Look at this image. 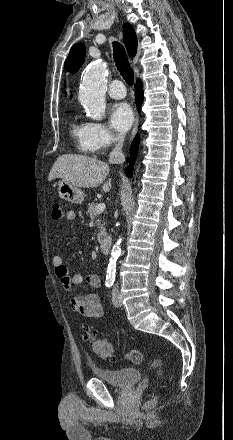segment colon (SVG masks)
<instances>
[{
  "mask_svg": "<svg viewBox=\"0 0 233 440\" xmlns=\"http://www.w3.org/2000/svg\"><path fill=\"white\" fill-rule=\"evenodd\" d=\"M63 216V205L60 202H56L52 207V218L54 220H59ZM84 337L90 340L93 345L95 353L102 359H113L114 358V347L113 345L106 341L97 338V332L90 327L84 328ZM124 358L135 363L141 364L146 361V354L140 350H128L124 354ZM148 364L157 371L159 378H162V363L157 358H151L148 360ZM156 402V397H154L148 406L153 405Z\"/></svg>",
  "mask_w": 233,
  "mask_h": 440,
  "instance_id": "colon-1",
  "label": "colon"
}]
</instances>
